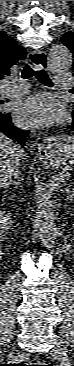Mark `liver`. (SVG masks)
Returning a JSON list of instances; mask_svg holds the SVG:
<instances>
[{"mask_svg": "<svg viewBox=\"0 0 74 366\" xmlns=\"http://www.w3.org/2000/svg\"><path fill=\"white\" fill-rule=\"evenodd\" d=\"M24 150L4 134H0V185H5L19 174L20 161H25Z\"/></svg>", "mask_w": 74, "mask_h": 366, "instance_id": "obj_1", "label": "liver"}]
</instances>
